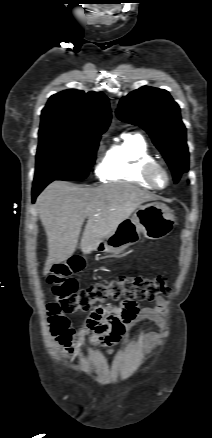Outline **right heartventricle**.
Returning a JSON list of instances; mask_svg holds the SVG:
<instances>
[{
	"mask_svg": "<svg viewBox=\"0 0 212 438\" xmlns=\"http://www.w3.org/2000/svg\"><path fill=\"white\" fill-rule=\"evenodd\" d=\"M155 160L146 139L139 133H127L106 152L103 179L111 182H129L153 189L141 176V168Z\"/></svg>",
	"mask_w": 212,
	"mask_h": 438,
	"instance_id": "1",
	"label": "right heart ventricle"
}]
</instances>
